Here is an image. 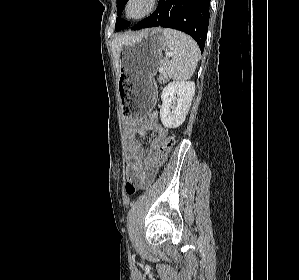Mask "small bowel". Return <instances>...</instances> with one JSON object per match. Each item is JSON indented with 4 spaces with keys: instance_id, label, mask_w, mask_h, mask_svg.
<instances>
[{
    "instance_id": "1",
    "label": "small bowel",
    "mask_w": 299,
    "mask_h": 280,
    "mask_svg": "<svg viewBox=\"0 0 299 280\" xmlns=\"http://www.w3.org/2000/svg\"><path fill=\"white\" fill-rule=\"evenodd\" d=\"M129 130L131 133L129 141L130 158L126 166V175L128 181H142L146 177L144 172L145 166L151 165L159 157L161 148L168 138V131L159 124L157 120L130 121ZM145 133H153L155 135L146 157H144V149L142 145L134 138L135 134Z\"/></svg>"
}]
</instances>
